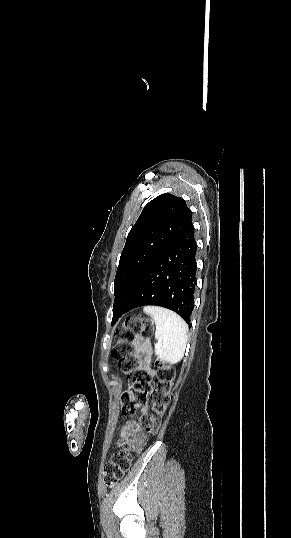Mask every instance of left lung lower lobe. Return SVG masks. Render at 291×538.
I'll use <instances>...</instances> for the list:
<instances>
[{
  "instance_id": "1",
  "label": "left lung lower lobe",
  "mask_w": 291,
  "mask_h": 538,
  "mask_svg": "<svg viewBox=\"0 0 291 538\" xmlns=\"http://www.w3.org/2000/svg\"><path fill=\"white\" fill-rule=\"evenodd\" d=\"M197 245L191 223L159 255L124 308H113L112 325L126 312L147 305L178 313L189 325L196 288Z\"/></svg>"
}]
</instances>
